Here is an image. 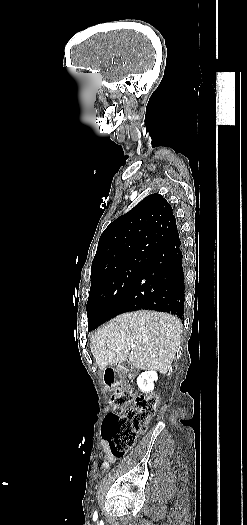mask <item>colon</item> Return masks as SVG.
Returning <instances> with one entry per match:
<instances>
[{
	"instance_id": "colon-1",
	"label": "colon",
	"mask_w": 247,
	"mask_h": 525,
	"mask_svg": "<svg viewBox=\"0 0 247 525\" xmlns=\"http://www.w3.org/2000/svg\"><path fill=\"white\" fill-rule=\"evenodd\" d=\"M111 400L114 411L105 417L101 435L109 444L110 454L122 458L146 422L155 415L159 397H134L130 388L123 387L113 393Z\"/></svg>"
}]
</instances>
